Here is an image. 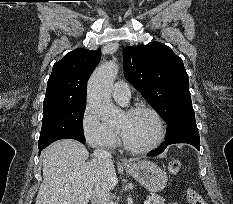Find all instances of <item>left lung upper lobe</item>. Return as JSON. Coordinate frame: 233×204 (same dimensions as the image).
Returning <instances> with one entry per match:
<instances>
[{
    "mask_svg": "<svg viewBox=\"0 0 233 204\" xmlns=\"http://www.w3.org/2000/svg\"><path fill=\"white\" fill-rule=\"evenodd\" d=\"M125 78L167 123L165 139L184 130H197L182 59L159 42L128 46L123 51Z\"/></svg>",
    "mask_w": 233,
    "mask_h": 204,
    "instance_id": "obj_1",
    "label": "left lung upper lobe"
}]
</instances>
